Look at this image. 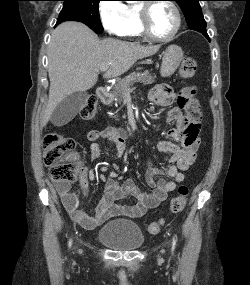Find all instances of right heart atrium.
<instances>
[{"instance_id": "d8ad5b80", "label": "right heart atrium", "mask_w": 250, "mask_h": 285, "mask_svg": "<svg viewBox=\"0 0 250 285\" xmlns=\"http://www.w3.org/2000/svg\"><path fill=\"white\" fill-rule=\"evenodd\" d=\"M104 29L110 34L123 35L129 21L128 6L122 0H104L99 5Z\"/></svg>"}]
</instances>
